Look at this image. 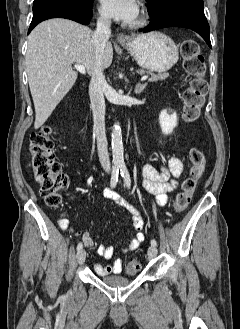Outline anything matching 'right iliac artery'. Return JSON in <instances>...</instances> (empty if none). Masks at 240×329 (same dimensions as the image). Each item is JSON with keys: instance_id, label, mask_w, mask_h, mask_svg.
Returning a JSON list of instances; mask_svg holds the SVG:
<instances>
[{"instance_id": "right-iliac-artery-1", "label": "right iliac artery", "mask_w": 240, "mask_h": 329, "mask_svg": "<svg viewBox=\"0 0 240 329\" xmlns=\"http://www.w3.org/2000/svg\"><path fill=\"white\" fill-rule=\"evenodd\" d=\"M118 176H119V166H114L112 171L111 181H110L111 188H114L116 186L118 181ZM82 248H83V244L80 242L77 245V250L80 251Z\"/></svg>"}]
</instances>
